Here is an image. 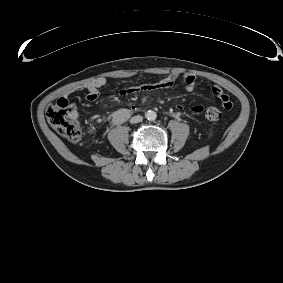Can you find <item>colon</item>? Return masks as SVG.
I'll return each mask as SVG.
<instances>
[{"instance_id":"obj_1","label":"colon","mask_w":283,"mask_h":283,"mask_svg":"<svg viewBox=\"0 0 283 283\" xmlns=\"http://www.w3.org/2000/svg\"><path fill=\"white\" fill-rule=\"evenodd\" d=\"M222 111L217 107H209L205 111L208 121L216 122L222 118ZM47 120L55 131L70 141L78 143L81 139V126L75 116V105L67 98L60 97L46 111Z\"/></svg>"}]
</instances>
